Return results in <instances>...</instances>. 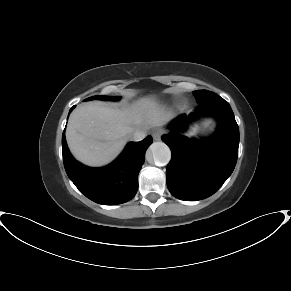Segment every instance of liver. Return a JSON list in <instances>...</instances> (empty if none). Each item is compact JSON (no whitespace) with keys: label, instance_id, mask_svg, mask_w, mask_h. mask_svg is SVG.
Listing matches in <instances>:
<instances>
[{"label":"liver","instance_id":"obj_1","mask_svg":"<svg viewBox=\"0 0 291 291\" xmlns=\"http://www.w3.org/2000/svg\"><path fill=\"white\" fill-rule=\"evenodd\" d=\"M172 117L152 97L122 107L89 102L70 115L66 140L77 160L89 166H103L118 156L136 130L162 126Z\"/></svg>","mask_w":291,"mask_h":291}]
</instances>
